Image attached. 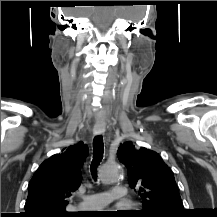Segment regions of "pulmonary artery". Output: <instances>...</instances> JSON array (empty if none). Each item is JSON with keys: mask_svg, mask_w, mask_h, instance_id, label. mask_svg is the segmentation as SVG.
<instances>
[{"mask_svg": "<svg viewBox=\"0 0 217 217\" xmlns=\"http://www.w3.org/2000/svg\"><path fill=\"white\" fill-rule=\"evenodd\" d=\"M126 198V188L124 186H114L110 192L87 194L80 204V208L86 210L102 209L114 200Z\"/></svg>", "mask_w": 217, "mask_h": 217, "instance_id": "obj_1", "label": "pulmonary artery"}]
</instances>
